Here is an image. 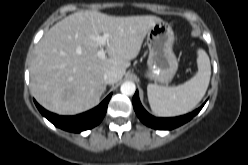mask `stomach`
Masks as SVG:
<instances>
[{
	"instance_id": "stomach-1",
	"label": "stomach",
	"mask_w": 248,
	"mask_h": 165,
	"mask_svg": "<svg viewBox=\"0 0 248 165\" xmlns=\"http://www.w3.org/2000/svg\"><path fill=\"white\" fill-rule=\"evenodd\" d=\"M146 43L149 57L145 77L162 84L171 82L178 69V61L173 52L174 33L171 26L164 21L155 23L147 33Z\"/></svg>"
}]
</instances>
